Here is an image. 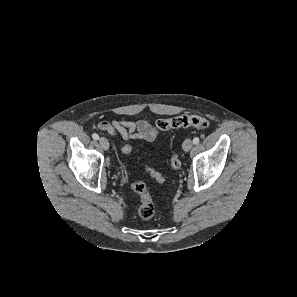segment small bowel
I'll return each instance as SVG.
<instances>
[{
  "instance_id": "obj_1",
  "label": "small bowel",
  "mask_w": 297,
  "mask_h": 297,
  "mask_svg": "<svg viewBox=\"0 0 297 297\" xmlns=\"http://www.w3.org/2000/svg\"><path fill=\"white\" fill-rule=\"evenodd\" d=\"M97 129L107 132L112 137L119 135L124 141L136 139L154 142L159 136L158 130L146 120L137 122L124 119L101 121L97 124Z\"/></svg>"
}]
</instances>
